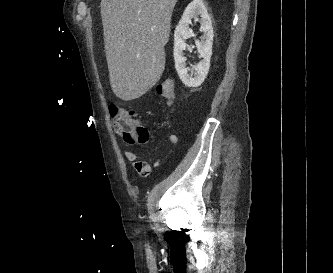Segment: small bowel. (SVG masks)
Wrapping results in <instances>:
<instances>
[{"instance_id":"1","label":"small bowel","mask_w":333,"mask_h":273,"mask_svg":"<svg viewBox=\"0 0 333 273\" xmlns=\"http://www.w3.org/2000/svg\"><path fill=\"white\" fill-rule=\"evenodd\" d=\"M168 143L171 147L176 146L177 143H178V136L175 135V134H170L168 136ZM124 157L126 158V160H128L129 162H132L134 165L139 160L138 155L135 152L131 151V150L124 151Z\"/></svg>"}]
</instances>
